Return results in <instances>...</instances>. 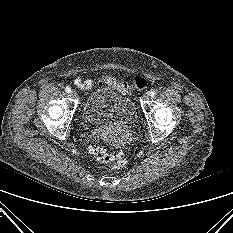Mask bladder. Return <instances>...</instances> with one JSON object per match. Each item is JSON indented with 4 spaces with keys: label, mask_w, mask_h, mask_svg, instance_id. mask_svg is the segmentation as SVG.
I'll use <instances>...</instances> for the list:
<instances>
[{
    "label": "bladder",
    "mask_w": 233,
    "mask_h": 233,
    "mask_svg": "<svg viewBox=\"0 0 233 233\" xmlns=\"http://www.w3.org/2000/svg\"><path fill=\"white\" fill-rule=\"evenodd\" d=\"M83 120L91 125H131L137 118L133 101L110 87L93 91L84 104Z\"/></svg>",
    "instance_id": "bladder-1"
}]
</instances>
